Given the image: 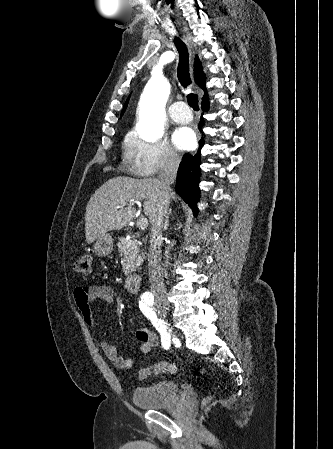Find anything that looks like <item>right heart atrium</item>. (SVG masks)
I'll return each mask as SVG.
<instances>
[{
	"label": "right heart atrium",
	"instance_id": "right-heart-atrium-1",
	"mask_svg": "<svg viewBox=\"0 0 333 449\" xmlns=\"http://www.w3.org/2000/svg\"><path fill=\"white\" fill-rule=\"evenodd\" d=\"M126 158L134 172L143 177L176 169L180 157L165 140H145L134 134L127 141Z\"/></svg>",
	"mask_w": 333,
	"mask_h": 449
}]
</instances>
